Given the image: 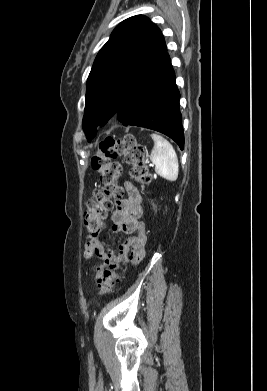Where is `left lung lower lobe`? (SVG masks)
<instances>
[{
    "instance_id": "0a47b994",
    "label": "left lung lower lobe",
    "mask_w": 267,
    "mask_h": 391,
    "mask_svg": "<svg viewBox=\"0 0 267 391\" xmlns=\"http://www.w3.org/2000/svg\"><path fill=\"white\" fill-rule=\"evenodd\" d=\"M179 99L174 70L165 52L129 92L117 112L118 120L124 126H140L161 132L183 150ZM94 133L86 134L88 141Z\"/></svg>"
}]
</instances>
